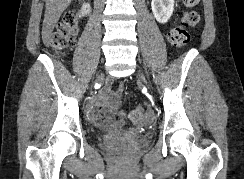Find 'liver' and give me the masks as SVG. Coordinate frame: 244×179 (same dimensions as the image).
I'll return each mask as SVG.
<instances>
[{"mask_svg": "<svg viewBox=\"0 0 244 179\" xmlns=\"http://www.w3.org/2000/svg\"><path fill=\"white\" fill-rule=\"evenodd\" d=\"M72 0H45V14L41 32L43 44L49 46L51 34L64 10Z\"/></svg>", "mask_w": 244, "mask_h": 179, "instance_id": "obj_1", "label": "liver"}]
</instances>
